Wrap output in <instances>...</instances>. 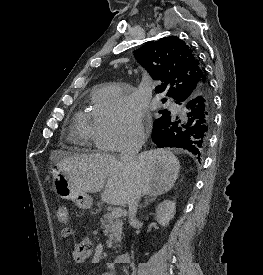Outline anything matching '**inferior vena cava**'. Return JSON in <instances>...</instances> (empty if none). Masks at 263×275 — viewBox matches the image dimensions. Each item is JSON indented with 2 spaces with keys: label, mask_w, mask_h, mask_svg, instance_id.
Here are the masks:
<instances>
[{
  "label": "inferior vena cava",
  "mask_w": 263,
  "mask_h": 275,
  "mask_svg": "<svg viewBox=\"0 0 263 275\" xmlns=\"http://www.w3.org/2000/svg\"><path fill=\"white\" fill-rule=\"evenodd\" d=\"M140 148L141 144H128L124 146L120 152V161L123 164L125 171L129 172L132 176L135 177L127 200L129 207V222L132 226L137 222L135 216L141 197L137 164V156Z\"/></svg>",
  "instance_id": "602c4592"
}]
</instances>
